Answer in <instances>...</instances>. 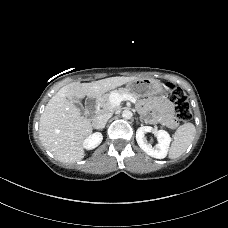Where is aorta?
Returning a JSON list of instances; mask_svg holds the SVG:
<instances>
[{
  "label": "aorta",
  "instance_id": "1",
  "mask_svg": "<svg viewBox=\"0 0 228 228\" xmlns=\"http://www.w3.org/2000/svg\"><path fill=\"white\" fill-rule=\"evenodd\" d=\"M122 117H123L124 119H131V117H132V112H131L130 110H128V109H125V110H123V112H122Z\"/></svg>",
  "mask_w": 228,
  "mask_h": 228
}]
</instances>
